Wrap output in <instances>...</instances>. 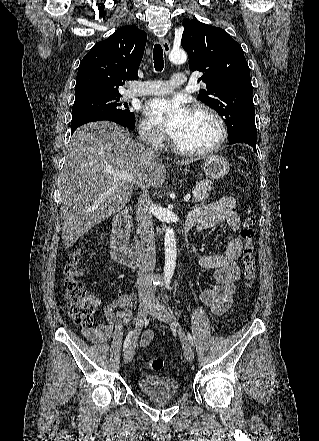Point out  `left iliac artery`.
Returning <instances> with one entry per match:
<instances>
[{"label":"left iliac artery","mask_w":319,"mask_h":441,"mask_svg":"<svg viewBox=\"0 0 319 441\" xmlns=\"http://www.w3.org/2000/svg\"><path fill=\"white\" fill-rule=\"evenodd\" d=\"M187 335H188V339H189L191 345H193V339H192V336L190 335L189 332H187Z\"/></svg>","instance_id":"44dca946"}]
</instances>
